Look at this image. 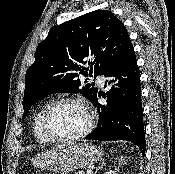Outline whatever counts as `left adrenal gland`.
<instances>
[{"label":"left adrenal gland","mask_w":175,"mask_h":174,"mask_svg":"<svg viewBox=\"0 0 175 174\" xmlns=\"http://www.w3.org/2000/svg\"><path fill=\"white\" fill-rule=\"evenodd\" d=\"M104 165H105V161H104V159H102L101 163L99 164V167L96 169L94 174H96L98 172V170H100Z\"/></svg>","instance_id":"1"}]
</instances>
